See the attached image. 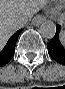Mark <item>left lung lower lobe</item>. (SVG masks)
<instances>
[{
    "label": "left lung lower lobe",
    "instance_id": "left-lung-lower-lobe-1",
    "mask_svg": "<svg viewBox=\"0 0 65 89\" xmlns=\"http://www.w3.org/2000/svg\"><path fill=\"white\" fill-rule=\"evenodd\" d=\"M61 27L56 26V34L47 44L49 55L58 63L65 65V35H63L62 42L59 39Z\"/></svg>",
    "mask_w": 65,
    "mask_h": 89
}]
</instances>
